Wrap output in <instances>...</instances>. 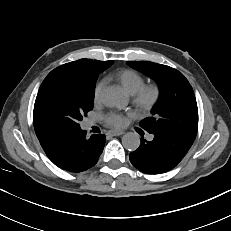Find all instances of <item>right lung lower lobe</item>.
<instances>
[{
  "label": "right lung lower lobe",
  "instance_id": "obj_1",
  "mask_svg": "<svg viewBox=\"0 0 231 231\" xmlns=\"http://www.w3.org/2000/svg\"><path fill=\"white\" fill-rule=\"evenodd\" d=\"M85 131H57L39 139L49 159L61 169L78 173L95 165L105 145V135L85 138Z\"/></svg>",
  "mask_w": 231,
  "mask_h": 231
}]
</instances>
